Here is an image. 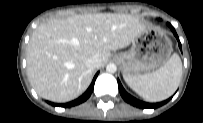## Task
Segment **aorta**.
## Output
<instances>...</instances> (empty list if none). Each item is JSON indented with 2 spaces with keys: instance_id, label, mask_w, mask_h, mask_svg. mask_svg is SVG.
<instances>
[{
  "instance_id": "1",
  "label": "aorta",
  "mask_w": 203,
  "mask_h": 123,
  "mask_svg": "<svg viewBox=\"0 0 203 123\" xmlns=\"http://www.w3.org/2000/svg\"><path fill=\"white\" fill-rule=\"evenodd\" d=\"M106 71L108 73H115L117 71V66L114 64V63H109L107 66H106Z\"/></svg>"
}]
</instances>
